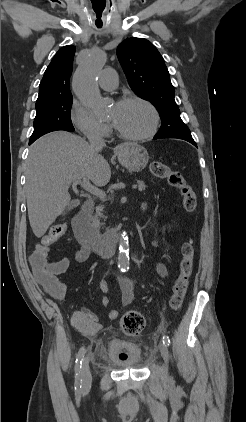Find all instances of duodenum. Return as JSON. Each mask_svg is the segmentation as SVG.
<instances>
[{"mask_svg": "<svg viewBox=\"0 0 246 422\" xmlns=\"http://www.w3.org/2000/svg\"><path fill=\"white\" fill-rule=\"evenodd\" d=\"M94 208L93 200H86L72 221L73 231L77 240L101 257H110L118 249L120 231L100 232L91 223Z\"/></svg>", "mask_w": 246, "mask_h": 422, "instance_id": "1", "label": "duodenum"}]
</instances>
